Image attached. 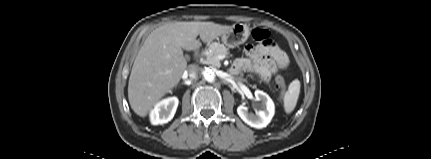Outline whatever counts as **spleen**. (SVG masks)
Returning a JSON list of instances; mask_svg holds the SVG:
<instances>
[{"label": "spleen", "mask_w": 431, "mask_h": 159, "mask_svg": "<svg viewBox=\"0 0 431 159\" xmlns=\"http://www.w3.org/2000/svg\"><path fill=\"white\" fill-rule=\"evenodd\" d=\"M300 93V81L294 80L289 85L288 91L284 96V110L287 114L291 113L297 104Z\"/></svg>", "instance_id": "obj_1"}]
</instances>
